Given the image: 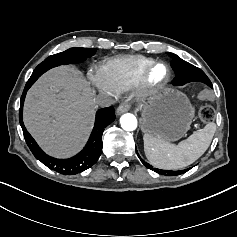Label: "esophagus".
<instances>
[{"mask_svg":"<svg viewBox=\"0 0 237 237\" xmlns=\"http://www.w3.org/2000/svg\"><path fill=\"white\" fill-rule=\"evenodd\" d=\"M129 109H130V104H128V103H122V104L117 108L116 114H117V115H121V114L127 112Z\"/></svg>","mask_w":237,"mask_h":237,"instance_id":"esophagus-1","label":"esophagus"}]
</instances>
